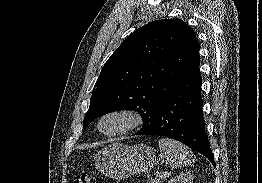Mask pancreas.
Here are the masks:
<instances>
[{
  "mask_svg": "<svg viewBox=\"0 0 262 183\" xmlns=\"http://www.w3.org/2000/svg\"><path fill=\"white\" fill-rule=\"evenodd\" d=\"M164 175H165L164 178H160L159 176H161V175H159L158 176L159 178L151 179L149 183H162V181L166 179V174H164Z\"/></svg>",
  "mask_w": 262,
  "mask_h": 183,
  "instance_id": "cf45deb5",
  "label": "pancreas"
}]
</instances>
